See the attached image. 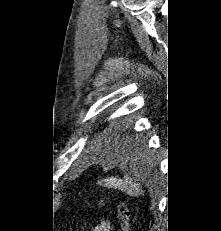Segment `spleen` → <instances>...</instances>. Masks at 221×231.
<instances>
[{
  "mask_svg": "<svg viewBox=\"0 0 221 231\" xmlns=\"http://www.w3.org/2000/svg\"><path fill=\"white\" fill-rule=\"evenodd\" d=\"M104 185L107 187L118 188L122 192H125L129 196L138 197L143 195V190L138 182L132 179L126 178L125 180L116 179V178H108L103 180Z\"/></svg>",
  "mask_w": 221,
  "mask_h": 231,
  "instance_id": "3e777b00",
  "label": "spleen"
}]
</instances>
